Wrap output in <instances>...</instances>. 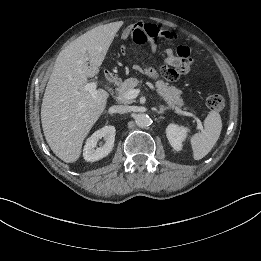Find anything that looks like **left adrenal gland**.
<instances>
[{"label":"left adrenal gland","mask_w":261,"mask_h":261,"mask_svg":"<svg viewBox=\"0 0 261 261\" xmlns=\"http://www.w3.org/2000/svg\"><path fill=\"white\" fill-rule=\"evenodd\" d=\"M167 109H169V107H164L163 105H160L159 109H155V111L158 114H163Z\"/></svg>","instance_id":"left-adrenal-gland-1"}]
</instances>
